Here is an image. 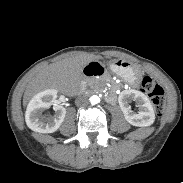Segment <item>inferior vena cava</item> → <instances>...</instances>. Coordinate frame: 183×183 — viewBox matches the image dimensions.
Segmentation results:
<instances>
[{"instance_id":"obj_1","label":"inferior vena cava","mask_w":183,"mask_h":183,"mask_svg":"<svg viewBox=\"0 0 183 183\" xmlns=\"http://www.w3.org/2000/svg\"><path fill=\"white\" fill-rule=\"evenodd\" d=\"M89 103V100L86 96H79L76 100H75V104L78 107H83V106H87Z\"/></svg>"}]
</instances>
